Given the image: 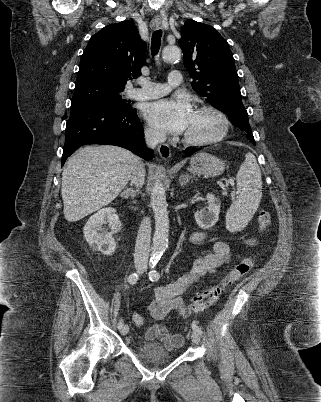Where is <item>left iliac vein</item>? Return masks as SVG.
Wrapping results in <instances>:
<instances>
[{"instance_id":"left-iliac-vein-1","label":"left iliac vein","mask_w":321,"mask_h":402,"mask_svg":"<svg viewBox=\"0 0 321 402\" xmlns=\"http://www.w3.org/2000/svg\"><path fill=\"white\" fill-rule=\"evenodd\" d=\"M191 339L194 344L198 345L200 343V336L196 331H193L191 334Z\"/></svg>"}]
</instances>
